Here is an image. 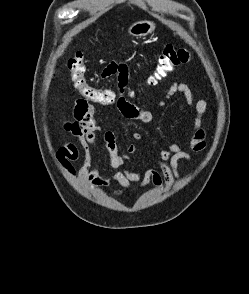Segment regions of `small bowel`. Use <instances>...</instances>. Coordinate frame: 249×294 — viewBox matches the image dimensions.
Instances as JSON below:
<instances>
[{
  "label": "small bowel",
  "mask_w": 249,
  "mask_h": 294,
  "mask_svg": "<svg viewBox=\"0 0 249 294\" xmlns=\"http://www.w3.org/2000/svg\"><path fill=\"white\" fill-rule=\"evenodd\" d=\"M109 76L105 72L102 73V78ZM128 76L127 67L118 74L120 95L116 101V107L120 114L128 120L149 123L153 120V112L133 104L123 96ZM175 95L183 97L192 122L189 132L181 142L187 143L193 152H203L206 148L207 132L201 125L207 103L204 100L195 101L190 88L184 83L175 81L168 88L164 99L159 102V106L164 107L166 100ZM74 116L75 120L65 122L64 128L78 138L84 156L83 164L78 171L75 170L72 162L79 158L80 151L79 147L70 140H66L56 151V159L69 175L77 176L80 182L94 189L107 187L112 182L120 185L121 192L130 189L133 183L139 189L150 184L156 189H169L175 181L182 177L179 162L193 160L191 153L182 149L181 142L172 141L155 153V160L160 170H130L125 167V163L129 160L130 155L136 152V147L128 145L122 152L118 146L116 134L111 130H106L104 145L109 155V172L103 173L94 162L97 154V133L102 130L97 124L95 106L83 98H78L75 101ZM133 138L141 140L142 135L134 133ZM119 193L120 191L116 192V194Z\"/></svg>",
  "instance_id": "small-bowel-1"
}]
</instances>
